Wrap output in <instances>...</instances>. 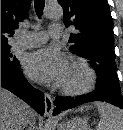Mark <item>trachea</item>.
<instances>
[{
    "label": "trachea",
    "instance_id": "trachea-1",
    "mask_svg": "<svg viewBox=\"0 0 123 130\" xmlns=\"http://www.w3.org/2000/svg\"><path fill=\"white\" fill-rule=\"evenodd\" d=\"M34 7H35L36 13L40 16L45 7V0H34Z\"/></svg>",
    "mask_w": 123,
    "mask_h": 130
}]
</instances>
